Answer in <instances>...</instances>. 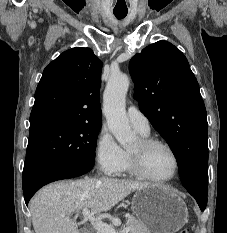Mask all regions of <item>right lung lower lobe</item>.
Segmentation results:
<instances>
[{"instance_id":"right-lung-lower-lobe-1","label":"right lung lower lobe","mask_w":227,"mask_h":233,"mask_svg":"<svg viewBox=\"0 0 227 233\" xmlns=\"http://www.w3.org/2000/svg\"><path fill=\"white\" fill-rule=\"evenodd\" d=\"M92 167L76 164H54L41 167L23 176V194L26 205L42 186L57 180L68 179L89 172Z\"/></svg>"}]
</instances>
